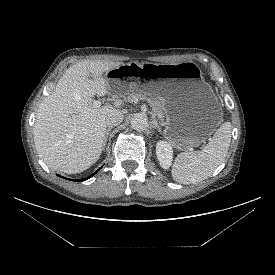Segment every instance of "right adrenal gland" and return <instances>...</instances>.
Returning <instances> with one entry per match:
<instances>
[{"mask_svg": "<svg viewBox=\"0 0 275 275\" xmlns=\"http://www.w3.org/2000/svg\"><path fill=\"white\" fill-rule=\"evenodd\" d=\"M111 131V128H108L106 130V133H105V138H104V143H103V149L105 148L106 146V142H107V139H108V135H109V132Z\"/></svg>", "mask_w": 275, "mask_h": 275, "instance_id": "right-adrenal-gland-1", "label": "right adrenal gland"}]
</instances>
